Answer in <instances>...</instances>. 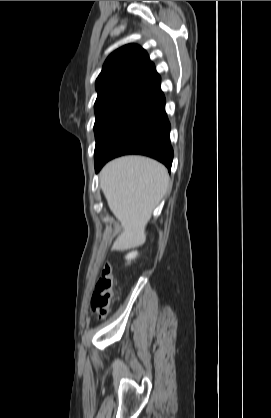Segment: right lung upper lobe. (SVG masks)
Listing matches in <instances>:
<instances>
[{
	"label": "right lung upper lobe",
	"mask_w": 271,
	"mask_h": 418,
	"mask_svg": "<svg viewBox=\"0 0 271 418\" xmlns=\"http://www.w3.org/2000/svg\"><path fill=\"white\" fill-rule=\"evenodd\" d=\"M160 82L146 51L135 44L125 45L105 61L96 80L95 104L120 98L158 104L165 100Z\"/></svg>",
	"instance_id": "cb5924a9"
}]
</instances>
